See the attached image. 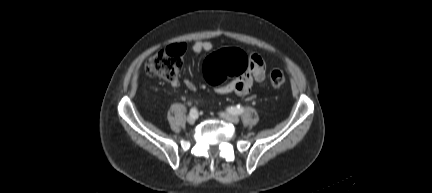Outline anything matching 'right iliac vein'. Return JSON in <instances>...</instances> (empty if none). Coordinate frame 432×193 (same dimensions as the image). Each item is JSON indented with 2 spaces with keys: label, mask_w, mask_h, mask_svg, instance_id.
<instances>
[{
  "label": "right iliac vein",
  "mask_w": 432,
  "mask_h": 193,
  "mask_svg": "<svg viewBox=\"0 0 432 193\" xmlns=\"http://www.w3.org/2000/svg\"><path fill=\"white\" fill-rule=\"evenodd\" d=\"M196 120H197V116H188V118H187V122L189 124H194L196 122Z\"/></svg>",
  "instance_id": "1"
}]
</instances>
